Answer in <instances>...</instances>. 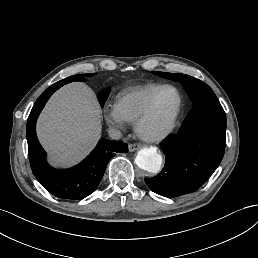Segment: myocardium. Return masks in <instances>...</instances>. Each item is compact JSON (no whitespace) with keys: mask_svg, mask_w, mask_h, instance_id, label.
<instances>
[{"mask_svg":"<svg viewBox=\"0 0 258 258\" xmlns=\"http://www.w3.org/2000/svg\"><path fill=\"white\" fill-rule=\"evenodd\" d=\"M165 90H172L176 94L177 106H176L175 113H174L173 118H172L171 122L169 123V125L160 134L155 135V136L147 135L141 130V124L144 121V119H146L150 115V113L152 111V108H153V105H154L158 95ZM181 105H182L181 96H180V93L178 92V90L175 87L170 86V85H164V86L159 87L154 92V94L150 97V99L148 100V102H147L146 106L144 107L143 111L139 114V116L137 117V119L135 121L136 134L142 140L149 141V142H159V141H162V140L166 139L173 132V130L176 126V123H177V120H178V117H179V113H180V110H181Z\"/></svg>","mask_w":258,"mask_h":258,"instance_id":"1","label":"myocardium"}]
</instances>
